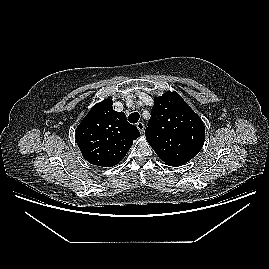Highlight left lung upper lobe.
<instances>
[{"instance_id":"left-lung-upper-lobe-1","label":"left lung upper lobe","mask_w":269,"mask_h":269,"mask_svg":"<svg viewBox=\"0 0 269 269\" xmlns=\"http://www.w3.org/2000/svg\"><path fill=\"white\" fill-rule=\"evenodd\" d=\"M148 143L169 166H181L202 149L205 127L201 118L176 92L155 98L148 127Z\"/></svg>"}]
</instances>
